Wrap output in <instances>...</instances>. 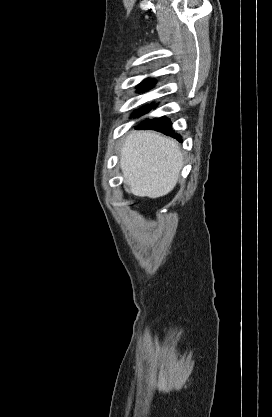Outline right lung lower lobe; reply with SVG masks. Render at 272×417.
Instances as JSON below:
<instances>
[{"label":"right lung lower lobe","instance_id":"right-lung-lower-lobe-1","mask_svg":"<svg viewBox=\"0 0 272 417\" xmlns=\"http://www.w3.org/2000/svg\"><path fill=\"white\" fill-rule=\"evenodd\" d=\"M135 128L156 130L159 132H163L166 135L172 136L173 138H176L180 142L182 141L181 136L179 134L173 133L171 129V122L166 117L144 120L140 124H138Z\"/></svg>","mask_w":272,"mask_h":417}]
</instances>
